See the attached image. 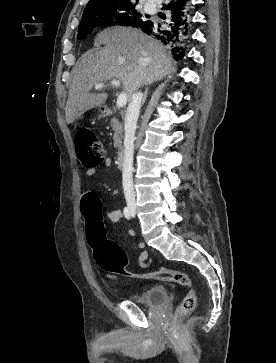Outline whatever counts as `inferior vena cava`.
Segmentation results:
<instances>
[{
    "instance_id": "1",
    "label": "inferior vena cava",
    "mask_w": 276,
    "mask_h": 363,
    "mask_svg": "<svg viewBox=\"0 0 276 363\" xmlns=\"http://www.w3.org/2000/svg\"><path fill=\"white\" fill-rule=\"evenodd\" d=\"M142 93L137 92L133 95L131 102L128 105L125 115V139H124V162L122 169V184L125 199L128 206H135V192L133 186V153H134V139L137 120L140 113L142 102Z\"/></svg>"
}]
</instances>
